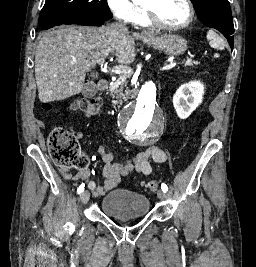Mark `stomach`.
Masks as SVG:
<instances>
[{"label": "stomach", "mask_w": 256, "mask_h": 267, "mask_svg": "<svg viewBox=\"0 0 256 267\" xmlns=\"http://www.w3.org/2000/svg\"><path fill=\"white\" fill-rule=\"evenodd\" d=\"M148 44L152 48H157L161 50L164 54L168 56H180L184 54L187 50V42L182 36H176V34H162V36H147Z\"/></svg>", "instance_id": "obj_1"}]
</instances>
